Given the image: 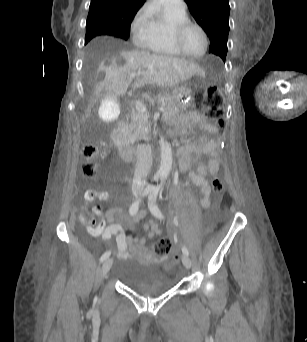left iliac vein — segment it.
Masks as SVG:
<instances>
[{
  "instance_id": "4c4485c4",
  "label": "left iliac vein",
  "mask_w": 307,
  "mask_h": 342,
  "mask_svg": "<svg viewBox=\"0 0 307 342\" xmlns=\"http://www.w3.org/2000/svg\"><path fill=\"white\" fill-rule=\"evenodd\" d=\"M181 259H182L183 265H184L186 268L189 269V268L191 267V260H190V258H189L187 255L183 254V255L181 256Z\"/></svg>"
}]
</instances>
